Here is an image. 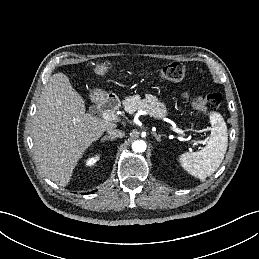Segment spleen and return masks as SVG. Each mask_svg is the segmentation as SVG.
Returning a JSON list of instances; mask_svg holds the SVG:
<instances>
[{
    "label": "spleen",
    "instance_id": "1",
    "mask_svg": "<svg viewBox=\"0 0 259 259\" xmlns=\"http://www.w3.org/2000/svg\"><path fill=\"white\" fill-rule=\"evenodd\" d=\"M211 133L207 145L198 152L180 155L182 167L192 176L204 180L211 176L222 163L228 144L226 123L219 113L210 115Z\"/></svg>",
    "mask_w": 259,
    "mask_h": 259
}]
</instances>
